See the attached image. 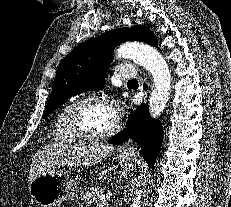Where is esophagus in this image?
Here are the masks:
<instances>
[{
  "label": "esophagus",
  "mask_w": 231,
  "mask_h": 207,
  "mask_svg": "<svg viewBox=\"0 0 231 207\" xmlns=\"http://www.w3.org/2000/svg\"><path fill=\"white\" fill-rule=\"evenodd\" d=\"M122 151L125 153H133L135 151V148L131 144H126L122 147Z\"/></svg>",
  "instance_id": "1"
}]
</instances>
